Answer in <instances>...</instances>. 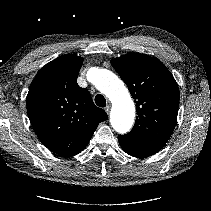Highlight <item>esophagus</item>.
<instances>
[{"label": "esophagus", "instance_id": "esophagus-1", "mask_svg": "<svg viewBox=\"0 0 211 211\" xmlns=\"http://www.w3.org/2000/svg\"><path fill=\"white\" fill-rule=\"evenodd\" d=\"M110 109H111V106H109V105L105 107V111H106L107 114L110 113Z\"/></svg>", "mask_w": 211, "mask_h": 211}]
</instances>
